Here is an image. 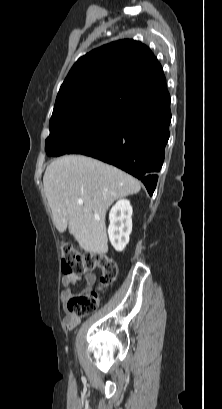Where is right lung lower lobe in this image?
<instances>
[{
	"label": "right lung lower lobe",
	"mask_w": 222,
	"mask_h": 409,
	"mask_svg": "<svg viewBox=\"0 0 222 409\" xmlns=\"http://www.w3.org/2000/svg\"><path fill=\"white\" fill-rule=\"evenodd\" d=\"M171 121L170 95L121 104L102 144L87 156L112 164L141 180L150 196L157 183Z\"/></svg>",
	"instance_id": "obj_1"
}]
</instances>
